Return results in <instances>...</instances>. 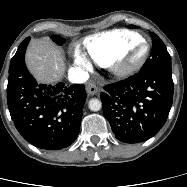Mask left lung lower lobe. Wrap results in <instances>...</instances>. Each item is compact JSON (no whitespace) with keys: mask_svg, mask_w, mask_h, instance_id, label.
Segmentation results:
<instances>
[{"mask_svg":"<svg viewBox=\"0 0 187 187\" xmlns=\"http://www.w3.org/2000/svg\"><path fill=\"white\" fill-rule=\"evenodd\" d=\"M101 92L103 113L116 138L139 143L165 124L173 102L171 67L140 70Z\"/></svg>","mask_w":187,"mask_h":187,"instance_id":"1","label":"left lung lower lobe"}]
</instances>
